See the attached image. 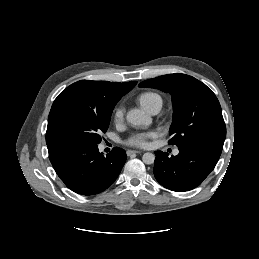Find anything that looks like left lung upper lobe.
Segmentation results:
<instances>
[{
    "label": "left lung upper lobe",
    "instance_id": "1",
    "mask_svg": "<svg viewBox=\"0 0 259 259\" xmlns=\"http://www.w3.org/2000/svg\"><path fill=\"white\" fill-rule=\"evenodd\" d=\"M139 86L171 94L173 121L169 130V144L180 147L205 139L224 142L226 126L220 103L204 83L192 76L177 73L143 81Z\"/></svg>",
    "mask_w": 259,
    "mask_h": 259
}]
</instances>
